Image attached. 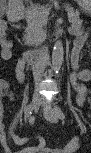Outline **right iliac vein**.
Returning <instances> with one entry per match:
<instances>
[{"instance_id": "obj_1", "label": "right iliac vein", "mask_w": 91, "mask_h": 153, "mask_svg": "<svg viewBox=\"0 0 91 153\" xmlns=\"http://www.w3.org/2000/svg\"><path fill=\"white\" fill-rule=\"evenodd\" d=\"M40 104H41V97L38 94H35L30 104V111L32 112L36 110Z\"/></svg>"}]
</instances>
